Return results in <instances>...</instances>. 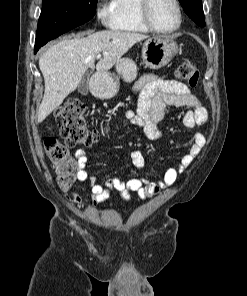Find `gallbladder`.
<instances>
[{
    "label": "gallbladder",
    "mask_w": 247,
    "mask_h": 296,
    "mask_svg": "<svg viewBox=\"0 0 247 296\" xmlns=\"http://www.w3.org/2000/svg\"><path fill=\"white\" fill-rule=\"evenodd\" d=\"M89 77L90 75L88 73H86L82 80L80 81L77 89L78 92L82 95H86L88 93V89H89Z\"/></svg>",
    "instance_id": "1"
}]
</instances>
